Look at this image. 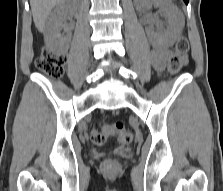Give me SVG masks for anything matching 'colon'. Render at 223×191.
Segmentation results:
<instances>
[{
	"label": "colon",
	"instance_id": "5ec220e1",
	"mask_svg": "<svg viewBox=\"0 0 223 191\" xmlns=\"http://www.w3.org/2000/svg\"><path fill=\"white\" fill-rule=\"evenodd\" d=\"M189 48L190 44L186 37L182 36L177 40L174 52L168 60L170 74H175L181 69L183 59L187 55ZM65 63L66 56L64 54H56L48 50H44L35 62L36 67L52 79H59L62 76ZM114 134H117L119 142L123 145L132 142V133L125 128L122 122L106 125L101 131L93 132L91 139L95 145L102 146L106 139ZM102 169L104 173L115 174L120 170V163L115 159H110L104 162Z\"/></svg>",
	"mask_w": 223,
	"mask_h": 191
}]
</instances>
